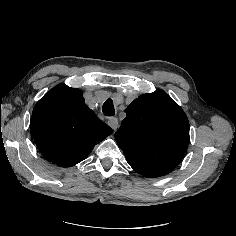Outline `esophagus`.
<instances>
[{
    "instance_id": "esophagus-1",
    "label": "esophagus",
    "mask_w": 236,
    "mask_h": 236,
    "mask_svg": "<svg viewBox=\"0 0 236 236\" xmlns=\"http://www.w3.org/2000/svg\"><path fill=\"white\" fill-rule=\"evenodd\" d=\"M108 125L113 129V130H116L118 125H119V122H118V119L115 118V117H111L108 119Z\"/></svg>"
}]
</instances>
